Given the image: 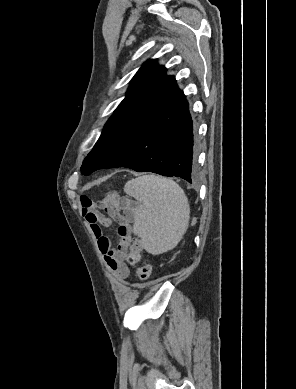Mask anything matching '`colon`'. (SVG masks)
Segmentation results:
<instances>
[{
	"label": "colon",
	"mask_w": 296,
	"mask_h": 389,
	"mask_svg": "<svg viewBox=\"0 0 296 389\" xmlns=\"http://www.w3.org/2000/svg\"><path fill=\"white\" fill-rule=\"evenodd\" d=\"M141 249L142 246L140 240L137 238L132 239L126 260L128 264L136 268L139 279L143 282H146L151 276L152 267L149 264H143L141 262Z\"/></svg>",
	"instance_id": "obj_1"
}]
</instances>
